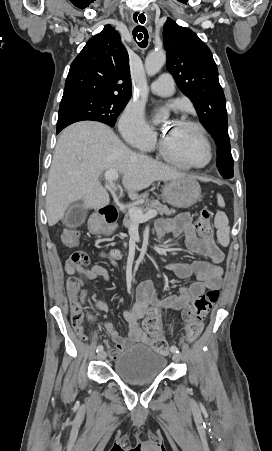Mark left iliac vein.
<instances>
[{
	"label": "left iliac vein",
	"mask_w": 272,
	"mask_h": 451,
	"mask_svg": "<svg viewBox=\"0 0 272 451\" xmlns=\"http://www.w3.org/2000/svg\"><path fill=\"white\" fill-rule=\"evenodd\" d=\"M173 360L178 362L180 360V355L178 353L173 355Z\"/></svg>",
	"instance_id": "obj_1"
}]
</instances>
